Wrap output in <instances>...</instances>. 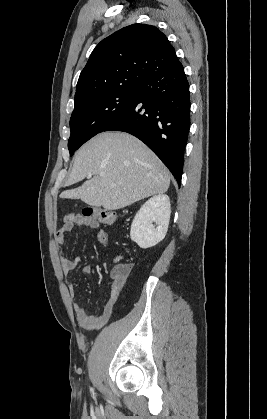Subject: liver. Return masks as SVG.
Instances as JSON below:
<instances>
[{"instance_id": "6515ba94", "label": "liver", "mask_w": 267, "mask_h": 419, "mask_svg": "<svg viewBox=\"0 0 267 419\" xmlns=\"http://www.w3.org/2000/svg\"><path fill=\"white\" fill-rule=\"evenodd\" d=\"M88 175L93 178L60 197L117 210L163 194L170 184V173L160 159L143 142L124 132H103L84 144L74 157L66 186Z\"/></svg>"}]
</instances>
